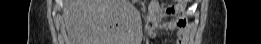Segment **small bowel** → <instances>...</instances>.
Returning <instances> with one entry per match:
<instances>
[{
    "label": "small bowel",
    "mask_w": 261,
    "mask_h": 44,
    "mask_svg": "<svg viewBox=\"0 0 261 44\" xmlns=\"http://www.w3.org/2000/svg\"><path fill=\"white\" fill-rule=\"evenodd\" d=\"M183 6L165 7L161 1H152L149 4L148 22L153 24L151 26V34L158 28L157 24H161L159 29L174 31L176 34V44H183L187 41L190 25L187 18V11ZM169 15L172 20L163 22L164 18Z\"/></svg>",
    "instance_id": "1"
}]
</instances>
